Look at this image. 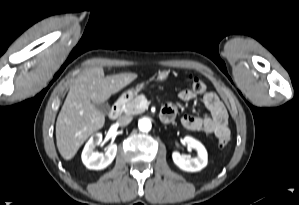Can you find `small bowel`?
<instances>
[{
	"label": "small bowel",
	"instance_id": "1",
	"mask_svg": "<svg viewBox=\"0 0 299 205\" xmlns=\"http://www.w3.org/2000/svg\"><path fill=\"white\" fill-rule=\"evenodd\" d=\"M178 96L182 101H191L196 97V93L190 89H185ZM202 102L208 110L209 116L185 115L181 119L183 127L191 131H203L207 134H213L217 138L229 135L228 114L217 95L212 92H206L202 96ZM176 111L177 107L173 103H168L162 109V112L170 115L171 120L174 118Z\"/></svg>",
	"mask_w": 299,
	"mask_h": 205
}]
</instances>
